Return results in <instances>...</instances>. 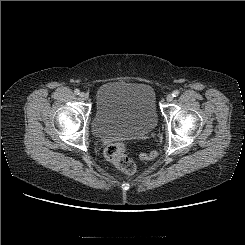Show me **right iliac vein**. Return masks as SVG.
<instances>
[{
    "label": "right iliac vein",
    "mask_w": 245,
    "mask_h": 245,
    "mask_svg": "<svg viewBox=\"0 0 245 245\" xmlns=\"http://www.w3.org/2000/svg\"><path fill=\"white\" fill-rule=\"evenodd\" d=\"M87 94L86 93H84V92H81L80 93V98L82 99V100H86L87 99Z\"/></svg>",
    "instance_id": "obj_1"
}]
</instances>
